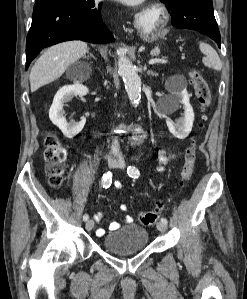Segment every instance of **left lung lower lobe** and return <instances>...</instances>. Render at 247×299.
Listing matches in <instances>:
<instances>
[{
	"instance_id": "obj_1",
	"label": "left lung lower lobe",
	"mask_w": 247,
	"mask_h": 299,
	"mask_svg": "<svg viewBox=\"0 0 247 299\" xmlns=\"http://www.w3.org/2000/svg\"><path fill=\"white\" fill-rule=\"evenodd\" d=\"M165 6L174 27L205 34L220 47V33L213 13L212 0H169L165 2Z\"/></svg>"
}]
</instances>
